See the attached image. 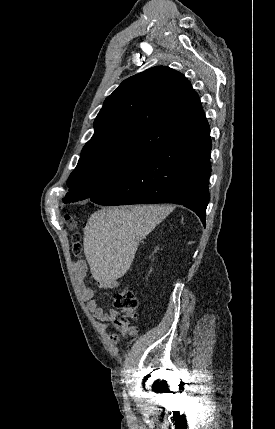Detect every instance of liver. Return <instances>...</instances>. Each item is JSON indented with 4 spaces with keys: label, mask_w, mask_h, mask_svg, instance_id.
Wrapping results in <instances>:
<instances>
[{
    "label": "liver",
    "mask_w": 275,
    "mask_h": 429,
    "mask_svg": "<svg viewBox=\"0 0 275 429\" xmlns=\"http://www.w3.org/2000/svg\"><path fill=\"white\" fill-rule=\"evenodd\" d=\"M169 212L165 205L102 208L84 229V253L93 278L103 286L123 277L130 268L139 242Z\"/></svg>",
    "instance_id": "liver-1"
}]
</instances>
